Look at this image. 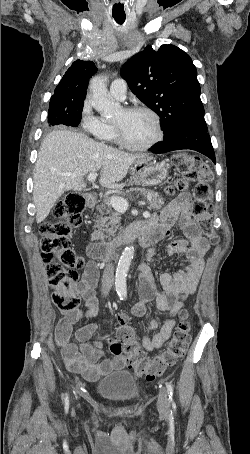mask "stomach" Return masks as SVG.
Segmentation results:
<instances>
[{
  "label": "stomach",
  "mask_w": 250,
  "mask_h": 454,
  "mask_svg": "<svg viewBox=\"0 0 250 454\" xmlns=\"http://www.w3.org/2000/svg\"><path fill=\"white\" fill-rule=\"evenodd\" d=\"M168 168L165 161L157 162L153 156L142 155L134 161L131 174L134 182L139 185H157L167 177Z\"/></svg>",
  "instance_id": "1"
}]
</instances>
